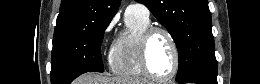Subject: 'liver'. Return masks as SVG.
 I'll return each instance as SVG.
<instances>
[{
	"mask_svg": "<svg viewBox=\"0 0 260 84\" xmlns=\"http://www.w3.org/2000/svg\"><path fill=\"white\" fill-rule=\"evenodd\" d=\"M76 84H151V82L132 77H104L94 73H86L80 76Z\"/></svg>",
	"mask_w": 260,
	"mask_h": 84,
	"instance_id": "6515ba94",
	"label": "liver"
}]
</instances>
